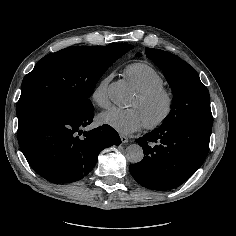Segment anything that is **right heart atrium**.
<instances>
[{
    "mask_svg": "<svg viewBox=\"0 0 236 236\" xmlns=\"http://www.w3.org/2000/svg\"><path fill=\"white\" fill-rule=\"evenodd\" d=\"M112 77L113 75L111 73L107 74L100 80V82L94 87L91 92V98L93 102L100 107H106L109 105L108 85Z\"/></svg>",
    "mask_w": 236,
    "mask_h": 236,
    "instance_id": "1",
    "label": "right heart atrium"
}]
</instances>
